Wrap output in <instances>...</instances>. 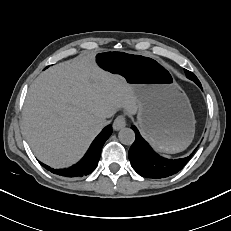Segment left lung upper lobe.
<instances>
[{
    "label": "left lung upper lobe",
    "instance_id": "left-lung-upper-lobe-1",
    "mask_svg": "<svg viewBox=\"0 0 231 231\" xmlns=\"http://www.w3.org/2000/svg\"><path fill=\"white\" fill-rule=\"evenodd\" d=\"M185 73H186L187 78H189L190 80H193L199 87L201 86L198 78L195 76L194 73H192L188 70H185Z\"/></svg>",
    "mask_w": 231,
    "mask_h": 231
}]
</instances>
